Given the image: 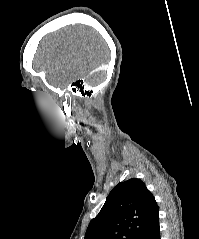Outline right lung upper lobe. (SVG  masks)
I'll use <instances>...</instances> for the list:
<instances>
[{
  "mask_svg": "<svg viewBox=\"0 0 199 239\" xmlns=\"http://www.w3.org/2000/svg\"><path fill=\"white\" fill-rule=\"evenodd\" d=\"M159 216L158 205L140 179L117 184L84 239H138Z\"/></svg>",
  "mask_w": 199,
  "mask_h": 239,
  "instance_id": "obj_1",
  "label": "right lung upper lobe"
}]
</instances>
